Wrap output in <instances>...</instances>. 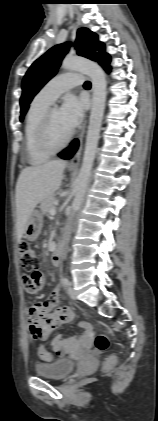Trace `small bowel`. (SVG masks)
<instances>
[{
    "mask_svg": "<svg viewBox=\"0 0 158 421\" xmlns=\"http://www.w3.org/2000/svg\"><path fill=\"white\" fill-rule=\"evenodd\" d=\"M40 289L44 285V276L38 271ZM74 313L69 307L60 306V286L56 287L51 295L40 302L33 304L28 310V327L32 337L36 340H46L52 332L62 323L73 320ZM79 326L84 330H89L88 323L80 322ZM76 341L72 336L57 335L52 340V347L59 355L65 352Z\"/></svg>",
    "mask_w": 158,
    "mask_h": 421,
    "instance_id": "small-bowel-1",
    "label": "small bowel"
}]
</instances>
